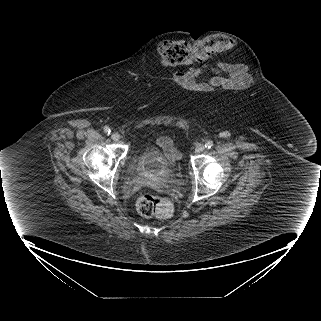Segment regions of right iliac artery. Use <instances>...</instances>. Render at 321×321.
<instances>
[{"mask_svg": "<svg viewBox=\"0 0 321 321\" xmlns=\"http://www.w3.org/2000/svg\"><path fill=\"white\" fill-rule=\"evenodd\" d=\"M104 132H105L106 134H110L111 130H110L109 127H105V128H104Z\"/></svg>", "mask_w": 321, "mask_h": 321, "instance_id": "82829eb1", "label": "right iliac artery"}]
</instances>
